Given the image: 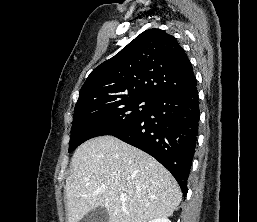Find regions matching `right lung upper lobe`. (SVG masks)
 Instances as JSON below:
<instances>
[{
    "instance_id": "right-lung-upper-lobe-1",
    "label": "right lung upper lobe",
    "mask_w": 257,
    "mask_h": 222,
    "mask_svg": "<svg viewBox=\"0 0 257 222\" xmlns=\"http://www.w3.org/2000/svg\"><path fill=\"white\" fill-rule=\"evenodd\" d=\"M195 82L192 64L176 38L148 29L90 73L77 104L95 97L158 99Z\"/></svg>"
}]
</instances>
